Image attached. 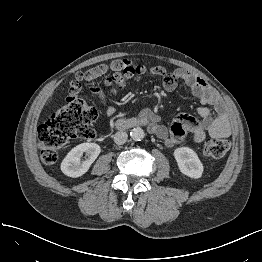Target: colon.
<instances>
[{
    "mask_svg": "<svg viewBox=\"0 0 262 262\" xmlns=\"http://www.w3.org/2000/svg\"><path fill=\"white\" fill-rule=\"evenodd\" d=\"M150 68L133 63H120L116 73L107 78L104 88L116 90L137 75L146 73ZM91 81L87 74L78 73L68 84V96L38 127V144L40 156L45 164H54L59 152L69 140L81 138L91 140L95 136L93 123L97 111L79 96L82 81ZM100 87H94L99 92ZM230 144L225 139H207L202 145V153L209 158H221L229 151Z\"/></svg>",
    "mask_w": 262,
    "mask_h": 262,
    "instance_id": "5ec220e1",
    "label": "colon"
}]
</instances>
